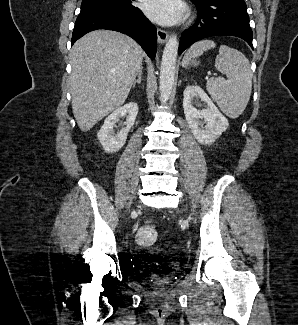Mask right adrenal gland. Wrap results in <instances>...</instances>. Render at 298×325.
Here are the masks:
<instances>
[{
  "mask_svg": "<svg viewBox=\"0 0 298 325\" xmlns=\"http://www.w3.org/2000/svg\"><path fill=\"white\" fill-rule=\"evenodd\" d=\"M141 76H142V68H140V72H138L137 78H136V80H134V82L132 84V88H134V86H136V82H139V84H140V82H141Z\"/></svg>",
  "mask_w": 298,
  "mask_h": 325,
  "instance_id": "2a0ac1e0",
  "label": "right adrenal gland"
}]
</instances>
